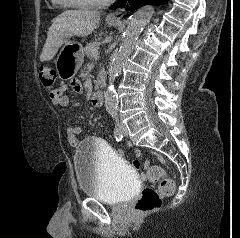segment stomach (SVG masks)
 I'll return each mask as SVG.
<instances>
[{"label":"stomach","mask_w":240,"mask_h":238,"mask_svg":"<svg viewBox=\"0 0 240 238\" xmlns=\"http://www.w3.org/2000/svg\"><path fill=\"white\" fill-rule=\"evenodd\" d=\"M83 59L84 51L80 43L69 40L65 42L55 60L56 73L59 78L66 80L74 76L82 65Z\"/></svg>","instance_id":"obj_1"}]
</instances>
